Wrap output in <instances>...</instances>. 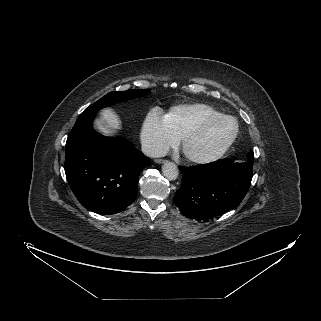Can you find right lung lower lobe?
Here are the masks:
<instances>
[{
    "label": "right lung lower lobe",
    "instance_id": "1",
    "mask_svg": "<svg viewBox=\"0 0 321 321\" xmlns=\"http://www.w3.org/2000/svg\"><path fill=\"white\" fill-rule=\"evenodd\" d=\"M95 115H80L65 146V174L79 202L98 214L123 211L136 197L138 177L150 159L124 138L92 127Z\"/></svg>",
    "mask_w": 321,
    "mask_h": 321
}]
</instances>
